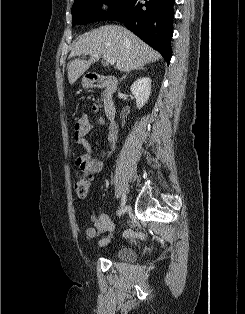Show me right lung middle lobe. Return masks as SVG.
Returning <instances> with one entry per match:
<instances>
[{"label":"right lung middle lobe","instance_id":"obj_1","mask_svg":"<svg viewBox=\"0 0 245 314\" xmlns=\"http://www.w3.org/2000/svg\"><path fill=\"white\" fill-rule=\"evenodd\" d=\"M130 0H77L74 2L72 13V25L84 24L106 19L111 14L120 10ZM108 4L109 10L102 11L101 5Z\"/></svg>","mask_w":245,"mask_h":314}]
</instances>
